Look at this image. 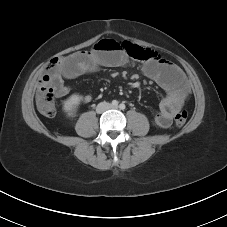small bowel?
Here are the masks:
<instances>
[{
	"instance_id": "small-bowel-1",
	"label": "small bowel",
	"mask_w": 227,
	"mask_h": 227,
	"mask_svg": "<svg viewBox=\"0 0 227 227\" xmlns=\"http://www.w3.org/2000/svg\"><path fill=\"white\" fill-rule=\"evenodd\" d=\"M128 58L129 55L119 42L112 39L100 40L91 50L79 51L64 57L51 74L50 81L55 94L58 97H65L70 93L65 79L96 72L100 67H119L126 64ZM143 72L166 93L153 122L159 128H168L173 116L183 107L187 98L185 75L178 66L160 57L147 61L143 65ZM78 99L82 103H88L92 96L79 95Z\"/></svg>"
}]
</instances>
